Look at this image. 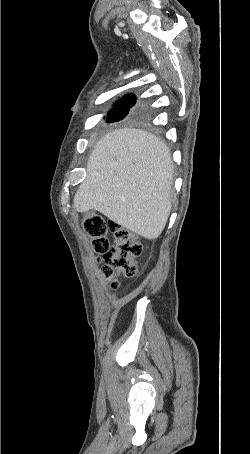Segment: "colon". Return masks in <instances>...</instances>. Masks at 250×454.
I'll return each instance as SVG.
<instances>
[{
    "mask_svg": "<svg viewBox=\"0 0 250 454\" xmlns=\"http://www.w3.org/2000/svg\"><path fill=\"white\" fill-rule=\"evenodd\" d=\"M89 235L101 264V273L112 289L119 286L118 277H133L136 274L135 258L142 253V244L137 236L103 217L89 213L82 222ZM114 233V241L108 240V232Z\"/></svg>",
    "mask_w": 250,
    "mask_h": 454,
    "instance_id": "colon-1",
    "label": "colon"
}]
</instances>
